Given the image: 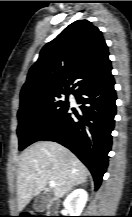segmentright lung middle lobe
<instances>
[{
    "label": "right lung middle lobe",
    "instance_id": "dd1d6c3e",
    "mask_svg": "<svg viewBox=\"0 0 132 217\" xmlns=\"http://www.w3.org/2000/svg\"><path fill=\"white\" fill-rule=\"evenodd\" d=\"M62 94L66 95L65 99L62 98ZM69 94L65 92L21 98L17 115L19 121L17 129L19 150L39 141L51 129L69 107L67 100Z\"/></svg>",
    "mask_w": 132,
    "mask_h": 217
}]
</instances>
